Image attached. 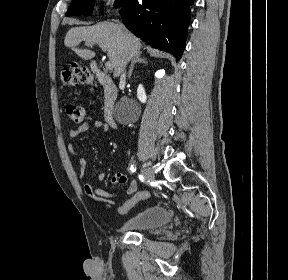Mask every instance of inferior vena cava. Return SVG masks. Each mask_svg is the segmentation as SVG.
<instances>
[{
    "label": "inferior vena cava",
    "mask_w": 288,
    "mask_h": 280,
    "mask_svg": "<svg viewBox=\"0 0 288 280\" xmlns=\"http://www.w3.org/2000/svg\"><path fill=\"white\" fill-rule=\"evenodd\" d=\"M121 26H122V25H121ZM126 63H127V62H125V65H126ZM124 76H125V73H123V77H124Z\"/></svg>",
    "instance_id": "1"
}]
</instances>
